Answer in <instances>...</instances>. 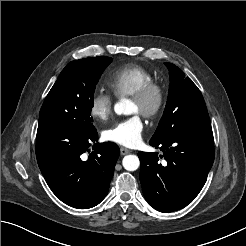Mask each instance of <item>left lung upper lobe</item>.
<instances>
[{
    "instance_id": "left-lung-upper-lobe-1",
    "label": "left lung upper lobe",
    "mask_w": 246,
    "mask_h": 246,
    "mask_svg": "<svg viewBox=\"0 0 246 246\" xmlns=\"http://www.w3.org/2000/svg\"><path fill=\"white\" fill-rule=\"evenodd\" d=\"M169 69L170 85L167 104L157 130L150 141L158 142L177 130L210 125V118L200 90L172 63Z\"/></svg>"
}]
</instances>
